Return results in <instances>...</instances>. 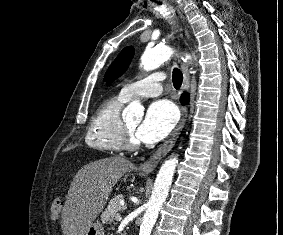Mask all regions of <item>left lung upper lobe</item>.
<instances>
[{
    "label": "left lung upper lobe",
    "instance_id": "left-lung-upper-lobe-1",
    "mask_svg": "<svg viewBox=\"0 0 283 235\" xmlns=\"http://www.w3.org/2000/svg\"><path fill=\"white\" fill-rule=\"evenodd\" d=\"M134 55L133 47L124 48L108 68L104 80L110 83L121 76L128 68Z\"/></svg>",
    "mask_w": 283,
    "mask_h": 235
}]
</instances>
